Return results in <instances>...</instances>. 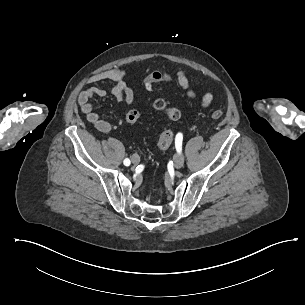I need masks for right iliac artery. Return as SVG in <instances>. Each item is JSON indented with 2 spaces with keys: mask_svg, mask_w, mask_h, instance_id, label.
Returning <instances> with one entry per match:
<instances>
[{
  "mask_svg": "<svg viewBox=\"0 0 305 305\" xmlns=\"http://www.w3.org/2000/svg\"><path fill=\"white\" fill-rule=\"evenodd\" d=\"M124 164H125L126 166H129V165H130V160H129L128 158H126V159L124 160Z\"/></svg>",
  "mask_w": 305,
  "mask_h": 305,
  "instance_id": "82829eb1",
  "label": "right iliac artery"
}]
</instances>
